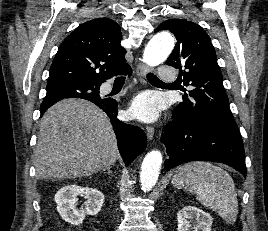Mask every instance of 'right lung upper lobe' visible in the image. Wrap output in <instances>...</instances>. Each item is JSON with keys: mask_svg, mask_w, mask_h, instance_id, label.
Here are the masks:
<instances>
[{"mask_svg": "<svg viewBox=\"0 0 268 231\" xmlns=\"http://www.w3.org/2000/svg\"><path fill=\"white\" fill-rule=\"evenodd\" d=\"M120 26L109 18H96L81 24L60 45L50 67L48 83L78 81L100 86L122 73L128 64L120 45ZM56 101H43L46 111Z\"/></svg>", "mask_w": 268, "mask_h": 231, "instance_id": "cb5924a9", "label": "right lung upper lobe"}]
</instances>
